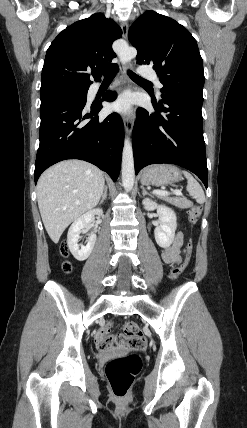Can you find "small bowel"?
Wrapping results in <instances>:
<instances>
[{
  "label": "small bowel",
  "instance_id": "1",
  "mask_svg": "<svg viewBox=\"0 0 247 428\" xmlns=\"http://www.w3.org/2000/svg\"><path fill=\"white\" fill-rule=\"evenodd\" d=\"M183 242L184 239L182 233H176L172 244L164 247L163 249L162 258L165 263L169 265H175L179 262Z\"/></svg>",
  "mask_w": 247,
  "mask_h": 428
}]
</instances>
